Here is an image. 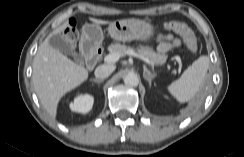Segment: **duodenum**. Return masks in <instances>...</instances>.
<instances>
[{"label": "duodenum", "mask_w": 244, "mask_h": 157, "mask_svg": "<svg viewBox=\"0 0 244 157\" xmlns=\"http://www.w3.org/2000/svg\"><path fill=\"white\" fill-rule=\"evenodd\" d=\"M82 50L85 54L87 66L93 68L100 59V51L96 47H93L88 41H84Z\"/></svg>", "instance_id": "duodenum-1"}]
</instances>
